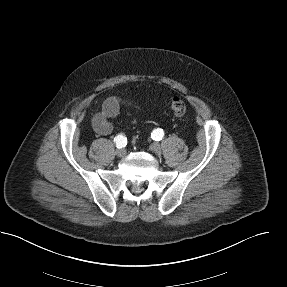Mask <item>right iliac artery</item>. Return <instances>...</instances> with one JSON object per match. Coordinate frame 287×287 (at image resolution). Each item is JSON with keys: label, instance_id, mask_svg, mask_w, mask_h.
Returning a JSON list of instances; mask_svg holds the SVG:
<instances>
[{"label": "right iliac artery", "instance_id": "82829eb1", "mask_svg": "<svg viewBox=\"0 0 287 287\" xmlns=\"http://www.w3.org/2000/svg\"><path fill=\"white\" fill-rule=\"evenodd\" d=\"M117 148H123L127 145V138L123 135H117L114 139Z\"/></svg>", "mask_w": 287, "mask_h": 287}]
</instances>
